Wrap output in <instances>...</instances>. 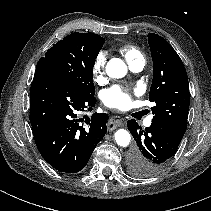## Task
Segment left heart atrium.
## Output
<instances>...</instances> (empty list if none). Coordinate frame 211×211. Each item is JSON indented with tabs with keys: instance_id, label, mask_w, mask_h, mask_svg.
Listing matches in <instances>:
<instances>
[{
	"instance_id": "obj_1",
	"label": "left heart atrium",
	"mask_w": 211,
	"mask_h": 211,
	"mask_svg": "<svg viewBox=\"0 0 211 211\" xmlns=\"http://www.w3.org/2000/svg\"><path fill=\"white\" fill-rule=\"evenodd\" d=\"M103 103L109 108L125 110L132 103L131 91L119 85L112 86L103 92Z\"/></svg>"
}]
</instances>
